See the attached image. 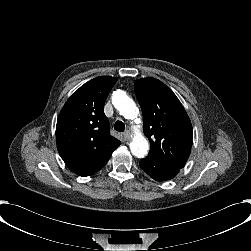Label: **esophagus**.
<instances>
[{
    "label": "esophagus",
    "instance_id": "1",
    "mask_svg": "<svg viewBox=\"0 0 251 251\" xmlns=\"http://www.w3.org/2000/svg\"><path fill=\"white\" fill-rule=\"evenodd\" d=\"M123 137L125 138V140L129 141L131 140V134L129 131H126L125 133H123Z\"/></svg>",
    "mask_w": 251,
    "mask_h": 251
}]
</instances>
